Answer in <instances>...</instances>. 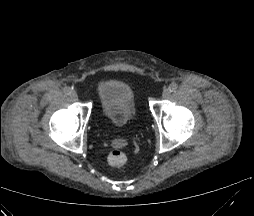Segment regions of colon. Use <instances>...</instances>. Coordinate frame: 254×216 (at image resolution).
I'll return each instance as SVG.
<instances>
[{
    "mask_svg": "<svg viewBox=\"0 0 254 216\" xmlns=\"http://www.w3.org/2000/svg\"><path fill=\"white\" fill-rule=\"evenodd\" d=\"M126 160L125 153L119 147H116L108 156V163L116 168L122 167Z\"/></svg>",
    "mask_w": 254,
    "mask_h": 216,
    "instance_id": "5ec220e1",
    "label": "colon"
}]
</instances>
